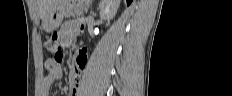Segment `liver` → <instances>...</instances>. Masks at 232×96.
<instances>
[{
  "label": "liver",
  "instance_id": "6515ba94",
  "mask_svg": "<svg viewBox=\"0 0 232 96\" xmlns=\"http://www.w3.org/2000/svg\"><path fill=\"white\" fill-rule=\"evenodd\" d=\"M53 0H38L40 17L43 19L45 14L51 8Z\"/></svg>",
  "mask_w": 232,
  "mask_h": 96
}]
</instances>
